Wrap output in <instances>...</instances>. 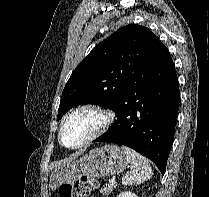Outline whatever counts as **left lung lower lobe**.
<instances>
[{
  "mask_svg": "<svg viewBox=\"0 0 209 197\" xmlns=\"http://www.w3.org/2000/svg\"><path fill=\"white\" fill-rule=\"evenodd\" d=\"M179 101L175 65L164 47L114 110L116 122L94 142L128 146L152 160L164 174L174 141Z\"/></svg>",
  "mask_w": 209,
  "mask_h": 197,
  "instance_id": "1",
  "label": "left lung lower lobe"
}]
</instances>
